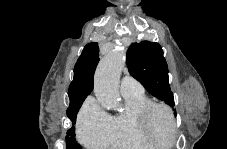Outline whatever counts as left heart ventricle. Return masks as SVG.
<instances>
[{"label": "left heart ventricle", "mask_w": 227, "mask_h": 149, "mask_svg": "<svg viewBox=\"0 0 227 149\" xmlns=\"http://www.w3.org/2000/svg\"><path fill=\"white\" fill-rule=\"evenodd\" d=\"M150 131L157 142L168 143L171 136L169 119L162 110H156L150 118Z\"/></svg>", "instance_id": "b2bd125f"}]
</instances>
